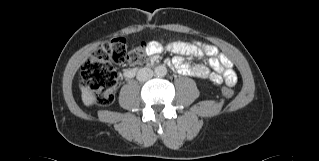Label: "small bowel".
<instances>
[{"label": "small bowel", "mask_w": 319, "mask_h": 161, "mask_svg": "<svg viewBox=\"0 0 319 161\" xmlns=\"http://www.w3.org/2000/svg\"><path fill=\"white\" fill-rule=\"evenodd\" d=\"M147 46L150 55L160 54L163 48L176 54L172 62L175 70L180 74L198 78H208L216 84L225 81L231 86H233L237 80L232 62L221 54L214 45L200 41H194L192 43L182 41L164 42L163 39H159L150 41ZM203 55L210 57L209 66L214 71H211L207 66L202 64L190 65L186 63L182 57H201Z\"/></svg>", "instance_id": "c3829d8e"}]
</instances>
